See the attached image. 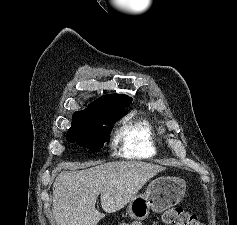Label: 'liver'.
I'll use <instances>...</instances> for the list:
<instances>
[{
  "instance_id": "1",
  "label": "liver",
  "mask_w": 237,
  "mask_h": 225,
  "mask_svg": "<svg viewBox=\"0 0 237 225\" xmlns=\"http://www.w3.org/2000/svg\"><path fill=\"white\" fill-rule=\"evenodd\" d=\"M165 167L145 162H108L78 171L61 172L53 184L56 225H97L105 216L96 208L114 213L129 203L146 182Z\"/></svg>"
}]
</instances>
